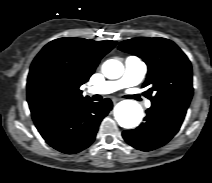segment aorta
Returning a JSON list of instances; mask_svg holds the SVG:
<instances>
[{
    "label": "aorta",
    "mask_w": 212,
    "mask_h": 183,
    "mask_svg": "<svg viewBox=\"0 0 212 183\" xmlns=\"http://www.w3.org/2000/svg\"><path fill=\"white\" fill-rule=\"evenodd\" d=\"M102 72L108 79H117L122 76L124 67L121 62L111 59L104 62ZM114 116L121 127L131 129L141 122L143 110L136 101L124 100L116 105Z\"/></svg>",
    "instance_id": "obj_1"
}]
</instances>
